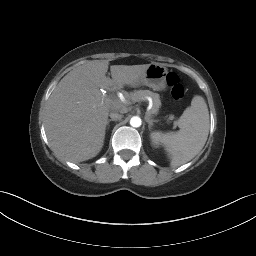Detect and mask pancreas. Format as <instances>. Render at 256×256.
I'll return each mask as SVG.
<instances>
[{
  "label": "pancreas",
  "instance_id": "1",
  "mask_svg": "<svg viewBox=\"0 0 256 256\" xmlns=\"http://www.w3.org/2000/svg\"><path fill=\"white\" fill-rule=\"evenodd\" d=\"M146 97H151L153 100L152 109L150 110L149 113L147 112V114L157 115L159 112V108L161 107V101H160L159 94L154 93L149 90H138V91H134L128 95V98L133 102H139V101L145 100ZM174 119H175V117L172 114L169 115L167 118L168 122H170ZM177 125H178V121H174V127H176Z\"/></svg>",
  "mask_w": 256,
  "mask_h": 256
}]
</instances>
